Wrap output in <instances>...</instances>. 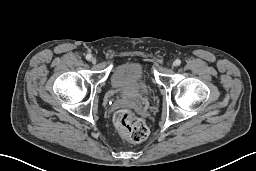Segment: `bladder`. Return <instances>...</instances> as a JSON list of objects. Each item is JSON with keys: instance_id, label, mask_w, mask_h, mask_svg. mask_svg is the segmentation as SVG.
<instances>
[{"instance_id": "obj_1", "label": "bladder", "mask_w": 256, "mask_h": 171, "mask_svg": "<svg viewBox=\"0 0 256 171\" xmlns=\"http://www.w3.org/2000/svg\"><path fill=\"white\" fill-rule=\"evenodd\" d=\"M112 89L121 96L143 99L150 90L143 67L136 62H127L116 66L111 74Z\"/></svg>"}]
</instances>
